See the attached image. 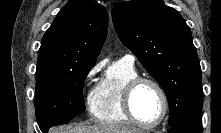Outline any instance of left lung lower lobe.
Returning a JSON list of instances; mask_svg holds the SVG:
<instances>
[{"label":"left lung lower lobe","mask_w":221,"mask_h":133,"mask_svg":"<svg viewBox=\"0 0 221 133\" xmlns=\"http://www.w3.org/2000/svg\"><path fill=\"white\" fill-rule=\"evenodd\" d=\"M170 133H202L201 115L184 119L180 123L172 126Z\"/></svg>","instance_id":"left-lung-lower-lobe-1"}]
</instances>
